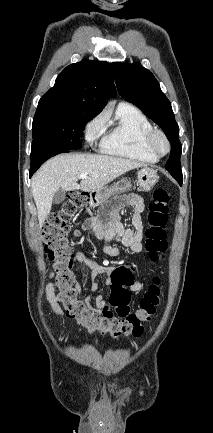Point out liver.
Instances as JSON below:
<instances>
[{
  "mask_svg": "<svg viewBox=\"0 0 213 433\" xmlns=\"http://www.w3.org/2000/svg\"><path fill=\"white\" fill-rule=\"evenodd\" d=\"M144 166L130 159L93 154H62L42 165L31 180L40 228L49 215L53 196L58 189L94 192L124 173ZM87 174L82 179L80 174Z\"/></svg>",
  "mask_w": 213,
  "mask_h": 433,
  "instance_id": "obj_1",
  "label": "liver"
}]
</instances>
